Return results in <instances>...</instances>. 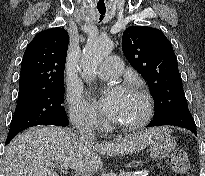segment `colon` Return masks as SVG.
Instances as JSON below:
<instances>
[{
  "mask_svg": "<svg viewBox=\"0 0 205 176\" xmlns=\"http://www.w3.org/2000/svg\"><path fill=\"white\" fill-rule=\"evenodd\" d=\"M170 166L174 172L185 176L189 171V158L183 149H175L169 158Z\"/></svg>",
  "mask_w": 205,
  "mask_h": 176,
  "instance_id": "obj_1",
  "label": "colon"
}]
</instances>
